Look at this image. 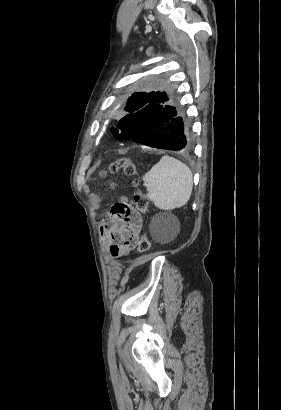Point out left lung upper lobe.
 Here are the masks:
<instances>
[{
  "label": "left lung upper lobe",
  "instance_id": "1",
  "mask_svg": "<svg viewBox=\"0 0 281 410\" xmlns=\"http://www.w3.org/2000/svg\"><path fill=\"white\" fill-rule=\"evenodd\" d=\"M164 86L165 82L163 80H156L150 83L147 87V91L137 92L128 99L125 111L129 112L130 114H133L138 110L142 109L144 106L148 104L149 100L154 95V93L162 90ZM111 132L114 135V137H118L120 135L117 128L112 127Z\"/></svg>",
  "mask_w": 281,
  "mask_h": 410
}]
</instances>
